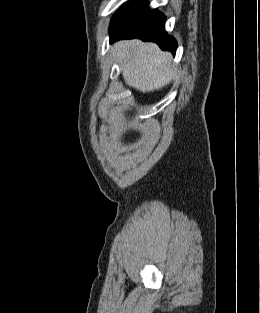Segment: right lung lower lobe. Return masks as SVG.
I'll list each match as a JSON object with an SVG mask.
<instances>
[{"mask_svg": "<svg viewBox=\"0 0 260 313\" xmlns=\"http://www.w3.org/2000/svg\"><path fill=\"white\" fill-rule=\"evenodd\" d=\"M165 16L158 10H149L147 0H131L113 16L110 25V41L139 38L156 42L162 50L175 54L176 40L167 35Z\"/></svg>", "mask_w": 260, "mask_h": 313, "instance_id": "right-lung-lower-lobe-1", "label": "right lung lower lobe"}]
</instances>
